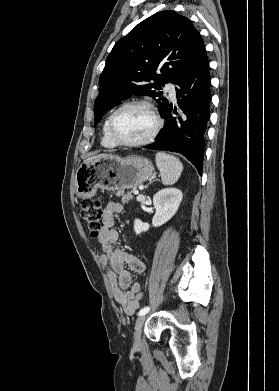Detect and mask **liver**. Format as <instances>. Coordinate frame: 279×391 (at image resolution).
I'll use <instances>...</instances> for the list:
<instances>
[{"label": "liver", "mask_w": 279, "mask_h": 391, "mask_svg": "<svg viewBox=\"0 0 279 391\" xmlns=\"http://www.w3.org/2000/svg\"><path fill=\"white\" fill-rule=\"evenodd\" d=\"M111 156H112L111 154H99L97 156H93V157L86 159L84 162H88V161H92V160H96V159L108 158Z\"/></svg>", "instance_id": "6515ba94"}]
</instances>
